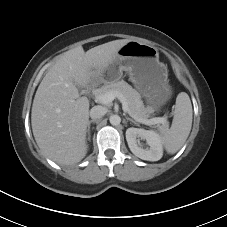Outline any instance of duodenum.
Segmentation results:
<instances>
[{"label": "duodenum", "mask_w": 227, "mask_h": 227, "mask_svg": "<svg viewBox=\"0 0 227 227\" xmlns=\"http://www.w3.org/2000/svg\"><path fill=\"white\" fill-rule=\"evenodd\" d=\"M93 87V84H89L88 88L91 89Z\"/></svg>", "instance_id": "duodenum-1"}]
</instances>
